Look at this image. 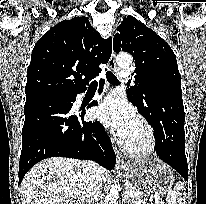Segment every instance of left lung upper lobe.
Returning a JSON list of instances; mask_svg holds the SVG:
<instances>
[{
    "label": "left lung upper lobe",
    "instance_id": "5c2ea615",
    "mask_svg": "<svg viewBox=\"0 0 206 204\" xmlns=\"http://www.w3.org/2000/svg\"><path fill=\"white\" fill-rule=\"evenodd\" d=\"M118 31L113 38L114 51L129 52L136 66L135 85H127V97L157 134L166 118L184 109L175 54L160 36L130 15Z\"/></svg>",
    "mask_w": 206,
    "mask_h": 204
}]
</instances>
